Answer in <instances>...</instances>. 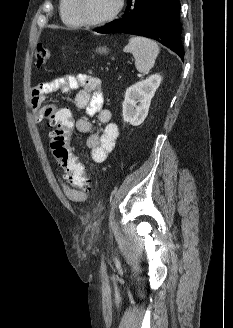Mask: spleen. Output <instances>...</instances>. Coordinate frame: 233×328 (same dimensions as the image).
Returning a JSON list of instances; mask_svg holds the SVG:
<instances>
[{
	"label": "spleen",
	"instance_id": "spleen-1",
	"mask_svg": "<svg viewBox=\"0 0 233 328\" xmlns=\"http://www.w3.org/2000/svg\"><path fill=\"white\" fill-rule=\"evenodd\" d=\"M123 51L131 53L135 58L136 69L140 73L146 74L153 68L160 49L158 44L152 39L134 36L129 39Z\"/></svg>",
	"mask_w": 233,
	"mask_h": 328
}]
</instances>
